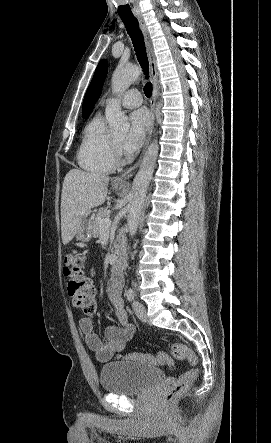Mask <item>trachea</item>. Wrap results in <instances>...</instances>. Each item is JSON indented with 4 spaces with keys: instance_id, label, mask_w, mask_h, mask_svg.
Listing matches in <instances>:
<instances>
[{
    "instance_id": "obj_1",
    "label": "trachea",
    "mask_w": 271,
    "mask_h": 443,
    "mask_svg": "<svg viewBox=\"0 0 271 443\" xmlns=\"http://www.w3.org/2000/svg\"><path fill=\"white\" fill-rule=\"evenodd\" d=\"M130 2L131 0H121L119 2L120 9L118 10V17L121 18V20L123 21L126 30L131 37L137 59L147 79L149 65L145 51L144 39L141 30L139 29L138 21L134 17V15H132ZM144 93L147 97H150L152 95V84L150 83V81L146 83L144 87Z\"/></svg>"
}]
</instances>
